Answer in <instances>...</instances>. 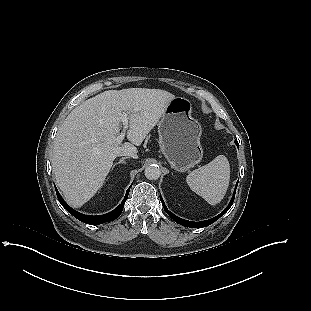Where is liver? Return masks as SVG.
Masks as SVG:
<instances>
[{
  "mask_svg": "<svg viewBox=\"0 0 311 311\" xmlns=\"http://www.w3.org/2000/svg\"><path fill=\"white\" fill-rule=\"evenodd\" d=\"M175 96L160 89L108 90L75 107L54 139L52 170L65 199L79 207L102 187L116 157L135 152ZM128 113L124 144L116 142Z\"/></svg>",
  "mask_w": 311,
  "mask_h": 311,
  "instance_id": "1",
  "label": "liver"
}]
</instances>
